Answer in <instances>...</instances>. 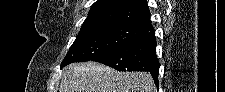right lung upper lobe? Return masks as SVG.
Instances as JSON below:
<instances>
[{
    "mask_svg": "<svg viewBox=\"0 0 225 92\" xmlns=\"http://www.w3.org/2000/svg\"><path fill=\"white\" fill-rule=\"evenodd\" d=\"M108 22L126 24L143 33L153 30L146 0H98L83 25Z\"/></svg>",
    "mask_w": 225,
    "mask_h": 92,
    "instance_id": "obj_1",
    "label": "right lung upper lobe"
}]
</instances>
